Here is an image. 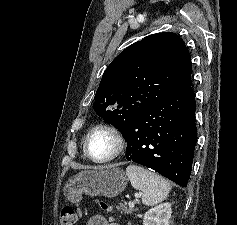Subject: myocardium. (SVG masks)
Returning a JSON list of instances; mask_svg holds the SVG:
<instances>
[{
	"mask_svg": "<svg viewBox=\"0 0 237 225\" xmlns=\"http://www.w3.org/2000/svg\"><path fill=\"white\" fill-rule=\"evenodd\" d=\"M97 133H105L109 135L113 141V148L112 151L101 158L94 157L90 153V140L91 138L97 134ZM125 148V139L122 135V133L114 126L109 124H99L95 127H93L86 135L84 140V152L87 155V157L96 163H109L113 160H115L124 150Z\"/></svg>",
	"mask_w": 237,
	"mask_h": 225,
	"instance_id": "obj_1",
	"label": "myocardium"
}]
</instances>
